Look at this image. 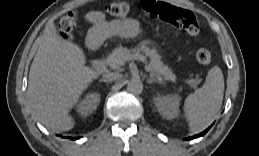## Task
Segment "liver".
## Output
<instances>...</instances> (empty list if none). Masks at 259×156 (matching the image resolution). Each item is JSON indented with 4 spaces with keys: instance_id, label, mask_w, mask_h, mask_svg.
<instances>
[{
    "instance_id": "obj_1",
    "label": "liver",
    "mask_w": 259,
    "mask_h": 156,
    "mask_svg": "<svg viewBox=\"0 0 259 156\" xmlns=\"http://www.w3.org/2000/svg\"><path fill=\"white\" fill-rule=\"evenodd\" d=\"M85 64L83 50L62 39L53 23L47 25L30 66L27 89L35 116L47 128L63 132L74 127L70 110L101 74Z\"/></svg>"
}]
</instances>
